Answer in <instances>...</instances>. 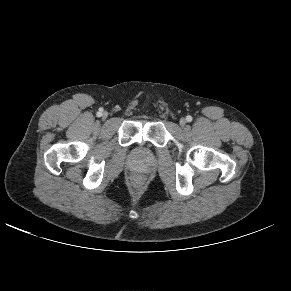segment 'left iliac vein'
Instances as JSON below:
<instances>
[{
  "label": "left iliac vein",
  "mask_w": 291,
  "mask_h": 291,
  "mask_svg": "<svg viewBox=\"0 0 291 291\" xmlns=\"http://www.w3.org/2000/svg\"><path fill=\"white\" fill-rule=\"evenodd\" d=\"M180 125H181L182 127H185V126H186V120H185L184 118H182V119L180 120Z\"/></svg>",
  "instance_id": "obj_1"
}]
</instances>
